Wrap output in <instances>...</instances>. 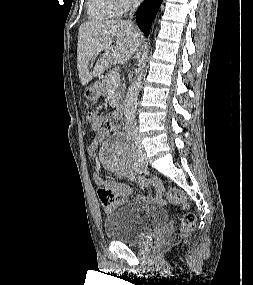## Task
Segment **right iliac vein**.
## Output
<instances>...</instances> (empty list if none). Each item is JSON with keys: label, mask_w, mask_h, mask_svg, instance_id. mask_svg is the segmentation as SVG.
I'll return each instance as SVG.
<instances>
[{"label": "right iliac vein", "mask_w": 253, "mask_h": 285, "mask_svg": "<svg viewBox=\"0 0 253 285\" xmlns=\"http://www.w3.org/2000/svg\"><path fill=\"white\" fill-rule=\"evenodd\" d=\"M137 166L142 169L147 166V160L141 150L137 152Z\"/></svg>", "instance_id": "obj_1"}]
</instances>
